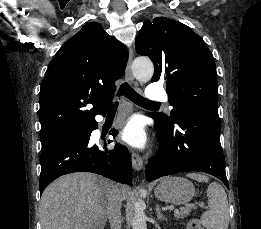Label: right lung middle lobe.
<instances>
[{
    "label": "right lung middle lobe",
    "mask_w": 261,
    "mask_h": 229,
    "mask_svg": "<svg viewBox=\"0 0 261 229\" xmlns=\"http://www.w3.org/2000/svg\"><path fill=\"white\" fill-rule=\"evenodd\" d=\"M42 151L46 150L55 143L56 133L53 131H47L40 133Z\"/></svg>",
    "instance_id": "dd1d6c3e"
}]
</instances>
